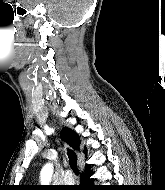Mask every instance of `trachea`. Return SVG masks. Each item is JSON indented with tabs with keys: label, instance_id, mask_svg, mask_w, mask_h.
I'll return each instance as SVG.
<instances>
[{
	"label": "trachea",
	"instance_id": "trachea-1",
	"mask_svg": "<svg viewBox=\"0 0 165 190\" xmlns=\"http://www.w3.org/2000/svg\"><path fill=\"white\" fill-rule=\"evenodd\" d=\"M68 156H69L70 167L72 168L73 172L76 175H78L79 170H78V166H77V156H76V154L72 150H69L68 151Z\"/></svg>",
	"mask_w": 165,
	"mask_h": 190
}]
</instances>
